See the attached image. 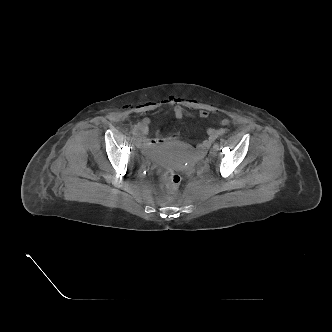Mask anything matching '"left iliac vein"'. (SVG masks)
I'll list each match as a JSON object with an SVG mask.
<instances>
[{
	"label": "left iliac vein",
	"mask_w": 332,
	"mask_h": 332,
	"mask_svg": "<svg viewBox=\"0 0 332 332\" xmlns=\"http://www.w3.org/2000/svg\"><path fill=\"white\" fill-rule=\"evenodd\" d=\"M216 153H217V149H215V148L213 147V148L210 150V154H211L212 156H215Z\"/></svg>",
	"instance_id": "1"
}]
</instances>
